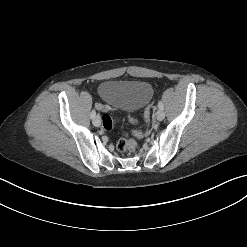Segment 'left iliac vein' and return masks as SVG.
<instances>
[{
    "label": "left iliac vein",
    "mask_w": 247,
    "mask_h": 247,
    "mask_svg": "<svg viewBox=\"0 0 247 247\" xmlns=\"http://www.w3.org/2000/svg\"><path fill=\"white\" fill-rule=\"evenodd\" d=\"M156 118L158 121H162L165 118V112L161 109L157 111Z\"/></svg>",
    "instance_id": "left-iliac-vein-1"
}]
</instances>
